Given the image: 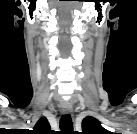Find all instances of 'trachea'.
Here are the masks:
<instances>
[{"instance_id":"obj_1","label":"trachea","mask_w":137,"mask_h":134,"mask_svg":"<svg viewBox=\"0 0 137 134\" xmlns=\"http://www.w3.org/2000/svg\"><path fill=\"white\" fill-rule=\"evenodd\" d=\"M60 128H61V132H71L73 130V126H72V120L70 115H64L61 117L60 119Z\"/></svg>"}]
</instances>
